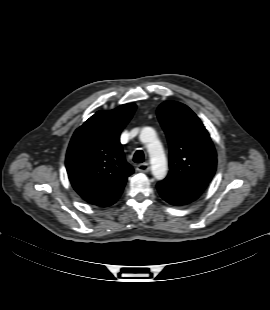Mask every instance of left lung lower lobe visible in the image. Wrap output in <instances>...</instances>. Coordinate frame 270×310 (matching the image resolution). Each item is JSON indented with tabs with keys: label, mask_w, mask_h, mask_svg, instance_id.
<instances>
[{
	"label": "left lung lower lobe",
	"mask_w": 270,
	"mask_h": 310,
	"mask_svg": "<svg viewBox=\"0 0 270 310\" xmlns=\"http://www.w3.org/2000/svg\"><path fill=\"white\" fill-rule=\"evenodd\" d=\"M157 189L161 197L172 205H187L195 201L204 190L195 188H185L166 181L157 184Z\"/></svg>",
	"instance_id": "0a47b994"
}]
</instances>
